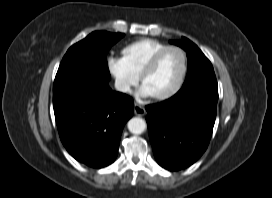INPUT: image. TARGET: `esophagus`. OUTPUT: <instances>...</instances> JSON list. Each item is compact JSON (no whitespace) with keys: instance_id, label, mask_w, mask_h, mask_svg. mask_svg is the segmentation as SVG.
Masks as SVG:
<instances>
[{"instance_id":"esophagus-1","label":"esophagus","mask_w":272,"mask_h":198,"mask_svg":"<svg viewBox=\"0 0 272 198\" xmlns=\"http://www.w3.org/2000/svg\"><path fill=\"white\" fill-rule=\"evenodd\" d=\"M134 113L135 115L137 116H144L146 114V110L144 107L138 105V104H135L134 105Z\"/></svg>"}]
</instances>
